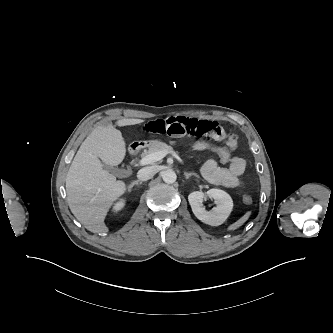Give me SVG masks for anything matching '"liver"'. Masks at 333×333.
Segmentation results:
<instances>
[{
  "label": "liver",
  "mask_w": 333,
  "mask_h": 333,
  "mask_svg": "<svg viewBox=\"0 0 333 333\" xmlns=\"http://www.w3.org/2000/svg\"><path fill=\"white\" fill-rule=\"evenodd\" d=\"M143 122L141 119H121L116 124L122 127ZM125 155L126 144L121 133L111 124L98 126L83 141L69 167L65 179L69 208L91 232H108L104 223L107 212L127 186L105 170L101 160L116 166Z\"/></svg>",
  "instance_id": "liver-1"
}]
</instances>
